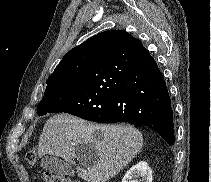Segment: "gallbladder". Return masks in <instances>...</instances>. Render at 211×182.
<instances>
[{"label":"gallbladder","instance_id":"bac80fb5","mask_svg":"<svg viewBox=\"0 0 211 182\" xmlns=\"http://www.w3.org/2000/svg\"><path fill=\"white\" fill-rule=\"evenodd\" d=\"M76 156L80 160L85 161V153L92 155L93 159L97 158V153L94 148L90 147L88 144H79L75 148ZM41 165L44 169L59 175V176H73L74 171L72 167L62 161L60 158L53 155H45L41 159Z\"/></svg>","mask_w":211,"mask_h":182}]
</instances>
